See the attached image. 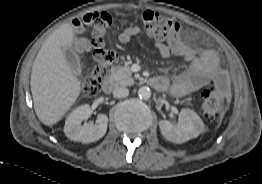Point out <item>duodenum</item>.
Segmentation results:
<instances>
[{
	"instance_id": "obj_1",
	"label": "duodenum",
	"mask_w": 262,
	"mask_h": 184,
	"mask_svg": "<svg viewBox=\"0 0 262 184\" xmlns=\"http://www.w3.org/2000/svg\"><path fill=\"white\" fill-rule=\"evenodd\" d=\"M150 84H151L154 88L158 89L159 83H158L157 80L151 79V80H150ZM112 88H113V81H112L111 79H107V80H105V81L102 83V90H103L104 93H106V94L110 93V92L112 91Z\"/></svg>"
}]
</instances>
